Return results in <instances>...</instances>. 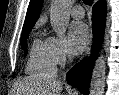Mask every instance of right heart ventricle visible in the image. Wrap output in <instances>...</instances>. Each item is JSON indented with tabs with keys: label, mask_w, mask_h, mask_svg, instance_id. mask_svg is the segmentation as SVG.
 <instances>
[{
	"label": "right heart ventricle",
	"mask_w": 119,
	"mask_h": 95,
	"mask_svg": "<svg viewBox=\"0 0 119 95\" xmlns=\"http://www.w3.org/2000/svg\"><path fill=\"white\" fill-rule=\"evenodd\" d=\"M56 70L52 50L47 39L33 41L26 63V72L32 76L50 77Z\"/></svg>",
	"instance_id": "e07e8e85"
}]
</instances>
